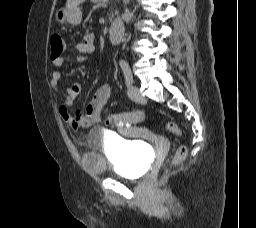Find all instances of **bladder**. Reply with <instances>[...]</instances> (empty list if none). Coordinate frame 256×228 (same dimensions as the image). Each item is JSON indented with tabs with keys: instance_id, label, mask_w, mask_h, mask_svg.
Masks as SVG:
<instances>
[{
	"instance_id": "31cf9c89",
	"label": "bladder",
	"mask_w": 256,
	"mask_h": 228,
	"mask_svg": "<svg viewBox=\"0 0 256 228\" xmlns=\"http://www.w3.org/2000/svg\"><path fill=\"white\" fill-rule=\"evenodd\" d=\"M107 144V155L98 149V144ZM84 165L96 174L112 173L136 179L141 177L148 164L146 149L136 141L115 139L95 128L89 133L88 151L83 156Z\"/></svg>"
}]
</instances>
